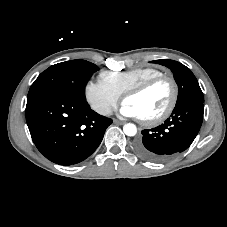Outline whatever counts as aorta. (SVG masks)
Instances as JSON below:
<instances>
[{"instance_id": "obj_1", "label": "aorta", "mask_w": 227, "mask_h": 227, "mask_svg": "<svg viewBox=\"0 0 227 227\" xmlns=\"http://www.w3.org/2000/svg\"><path fill=\"white\" fill-rule=\"evenodd\" d=\"M123 131L127 136H135L137 133V128L132 123H127L123 126Z\"/></svg>"}]
</instances>
